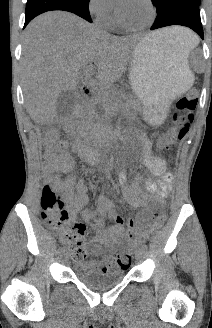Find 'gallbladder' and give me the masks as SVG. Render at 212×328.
<instances>
[{
	"label": "gallbladder",
	"mask_w": 212,
	"mask_h": 328,
	"mask_svg": "<svg viewBox=\"0 0 212 328\" xmlns=\"http://www.w3.org/2000/svg\"><path fill=\"white\" fill-rule=\"evenodd\" d=\"M76 102L77 96L74 91H62L56 102L57 118H66L76 105Z\"/></svg>",
	"instance_id": "obj_1"
}]
</instances>
